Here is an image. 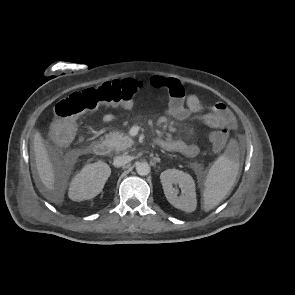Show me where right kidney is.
I'll use <instances>...</instances> for the list:
<instances>
[{
  "mask_svg": "<svg viewBox=\"0 0 295 295\" xmlns=\"http://www.w3.org/2000/svg\"><path fill=\"white\" fill-rule=\"evenodd\" d=\"M110 174L111 169L104 162L85 165L70 184L69 198L73 201L94 198L102 191Z\"/></svg>",
  "mask_w": 295,
  "mask_h": 295,
  "instance_id": "1",
  "label": "right kidney"
}]
</instances>
